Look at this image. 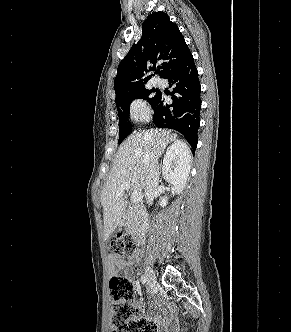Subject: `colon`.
Here are the masks:
<instances>
[{
  "mask_svg": "<svg viewBox=\"0 0 291 332\" xmlns=\"http://www.w3.org/2000/svg\"><path fill=\"white\" fill-rule=\"evenodd\" d=\"M106 244L108 250L118 257L132 258L137 253L135 241L127 233L109 237ZM109 289L111 332H157L155 322L141 316L130 280L122 276H112Z\"/></svg>",
  "mask_w": 291,
  "mask_h": 332,
  "instance_id": "colon-1",
  "label": "colon"
}]
</instances>
